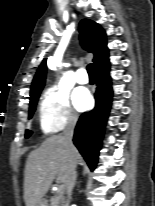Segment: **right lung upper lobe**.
I'll list each match as a JSON object with an SVG mask.
<instances>
[{
    "label": "right lung upper lobe",
    "instance_id": "right-lung-upper-lobe-1",
    "mask_svg": "<svg viewBox=\"0 0 155 206\" xmlns=\"http://www.w3.org/2000/svg\"><path fill=\"white\" fill-rule=\"evenodd\" d=\"M80 40L83 48L94 54L93 62L99 69L108 63V49L106 35L99 24L89 19H83L79 24ZM46 59L40 64L33 79L30 98L39 94L44 86L46 78Z\"/></svg>",
    "mask_w": 155,
    "mask_h": 206
}]
</instances>
